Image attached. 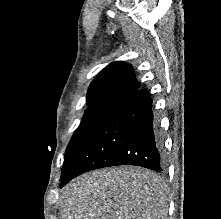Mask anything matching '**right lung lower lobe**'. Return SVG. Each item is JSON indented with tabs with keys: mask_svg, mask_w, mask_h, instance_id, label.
<instances>
[{
	"mask_svg": "<svg viewBox=\"0 0 221 219\" xmlns=\"http://www.w3.org/2000/svg\"><path fill=\"white\" fill-rule=\"evenodd\" d=\"M115 165L165 168L163 138L146 89L123 99L65 159L60 187L84 172Z\"/></svg>",
	"mask_w": 221,
	"mask_h": 219,
	"instance_id": "98d812e1",
	"label": "right lung lower lobe"
}]
</instances>
